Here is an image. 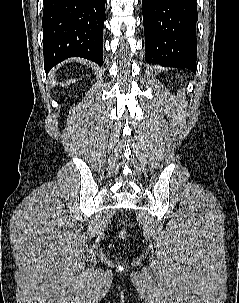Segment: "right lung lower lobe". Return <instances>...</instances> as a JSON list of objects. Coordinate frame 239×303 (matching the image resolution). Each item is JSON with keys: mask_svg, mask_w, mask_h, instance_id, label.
Wrapping results in <instances>:
<instances>
[{"mask_svg": "<svg viewBox=\"0 0 239 303\" xmlns=\"http://www.w3.org/2000/svg\"><path fill=\"white\" fill-rule=\"evenodd\" d=\"M43 53L46 72L70 57L103 64L105 0H43Z\"/></svg>", "mask_w": 239, "mask_h": 303, "instance_id": "right-lung-lower-lobe-1", "label": "right lung lower lobe"}]
</instances>
